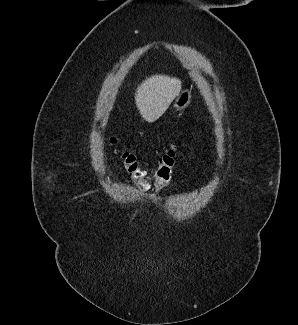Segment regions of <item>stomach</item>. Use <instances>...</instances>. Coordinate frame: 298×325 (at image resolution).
<instances>
[{
	"instance_id": "obj_1",
	"label": "stomach",
	"mask_w": 298,
	"mask_h": 325,
	"mask_svg": "<svg viewBox=\"0 0 298 325\" xmlns=\"http://www.w3.org/2000/svg\"><path fill=\"white\" fill-rule=\"evenodd\" d=\"M191 100V90H189V88H184V90H181L180 94L174 98L172 106L173 108H176V110H184V108L189 106Z\"/></svg>"
}]
</instances>
